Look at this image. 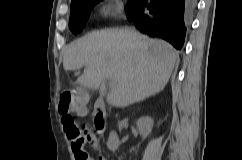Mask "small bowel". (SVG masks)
<instances>
[{
  "mask_svg": "<svg viewBox=\"0 0 242 160\" xmlns=\"http://www.w3.org/2000/svg\"><path fill=\"white\" fill-rule=\"evenodd\" d=\"M86 113H87L86 108H83V109H80V110L77 111V114L80 115V116H84V115H86ZM87 138H88L87 139L88 142H92L93 141V139L90 136H88ZM84 144H82L81 149H80L83 152H85L84 149H83ZM72 149H73V152H74V155H75L76 160H79V158H78V150L75 149V147L73 146V144H72Z\"/></svg>",
  "mask_w": 242,
  "mask_h": 160,
  "instance_id": "c3829d8e",
  "label": "small bowel"
}]
</instances>
